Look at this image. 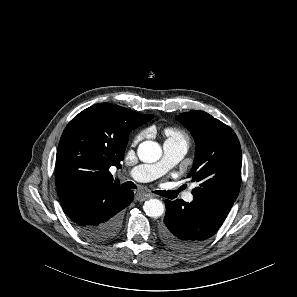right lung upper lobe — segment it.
<instances>
[{"mask_svg": "<svg viewBox=\"0 0 297 297\" xmlns=\"http://www.w3.org/2000/svg\"><path fill=\"white\" fill-rule=\"evenodd\" d=\"M153 118L121 106L95 104L66 126L57 150L56 184L61 201L85 185H119L109 172L121 167L131 130Z\"/></svg>", "mask_w": 297, "mask_h": 297, "instance_id": "cb5924a9", "label": "right lung upper lobe"}]
</instances>
